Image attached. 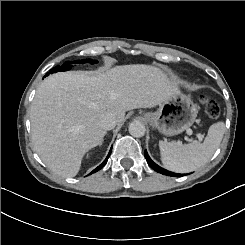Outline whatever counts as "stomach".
<instances>
[{
    "mask_svg": "<svg viewBox=\"0 0 245 245\" xmlns=\"http://www.w3.org/2000/svg\"><path fill=\"white\" fill-rule=\"evenodd\" d=\"M197 113L190 95L179 90L163 100L155 113H147L145 117L161 133L174 135L188 129L194 123Z\"/></svg>",
    "mask_w": 245,
    "mask_h": 245,
    "instance_id": "stomach-1",
    "label": "stomach"
}]
</instances>
